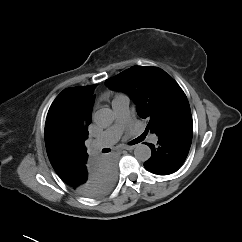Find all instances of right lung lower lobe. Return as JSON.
Segmentation results:
<instances>
[{"mask_svg":"<svg viewBox=\"0 0 242 242\" xmlns=\"http://www.w3.org/2000/svg\"><path fill=\"white\" fill-rule=\"evenodd\" d=\"M116 176V163L112 156L87 155L61 179L81 194L101 197L112 189Z\"/></svg>","mask_w":242,"mask_h":242,"instance_id":"98d812e1","label":"right lung lower lobe"}]
</instances>
